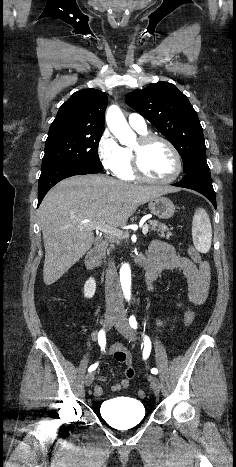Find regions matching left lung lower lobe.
I'll return each instance as SVG.
<instances>
[{
    "mask_svg": "<svg viewBox=\"0 0 236 467\" xmlns=\"http://www.w3.org/2000/svg\"><path fill=\"white\" fill-rule=\"evenodd\" d=\"M173 186L195 190L208 198L216 208V195L211 182L208 165H201L186 173L185 177Z\"/></svg>",
    "mask_w": 236,
    "mask_h": 467,
    "instance_id": "left-lung-lower-lobe-1",
    "label": "left lung lower lobe"
}]
</instances>
